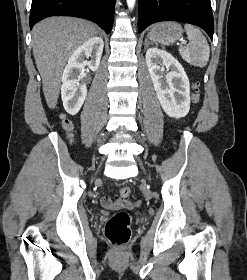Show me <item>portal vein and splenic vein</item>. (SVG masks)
<instances>
[{"label": "portal vein and splenic vein", "mask_w": 247, "mask_h": 280, "mask_svg": "<svg viewBox=\"0 0 247 280\" xmlns=\"http://www.w3.org/2000/svg\"><path fill=\"white\" fill-rule=\"evenodd\" d=\"M182 44H186V42H185V41H183V42H182Z\"/></svg>", "instance_id": "1"}]
</instances>
